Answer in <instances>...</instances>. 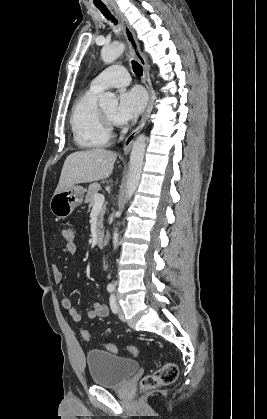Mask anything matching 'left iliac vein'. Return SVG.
<instances>
[{"mask_svg": "<svg viewBox=\"0 0 267 419\" xmlns=\"http://www.w3.org/2000/svg\"><path fill=\"white\" fill-rule=\"evenodd\" d=\"M117 313H118L119 318L125 321L123 310L119 304H117Z\"/></svg>", "mask_w": 267, "mask_h": 419, "instance_id": "obj_1", "label": "left iliac vein"}]
</instances>
